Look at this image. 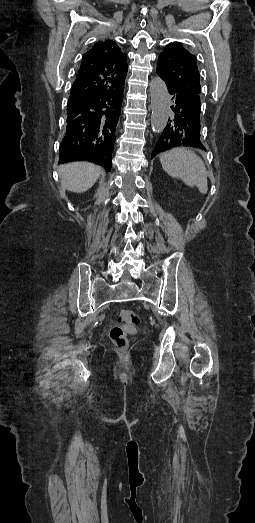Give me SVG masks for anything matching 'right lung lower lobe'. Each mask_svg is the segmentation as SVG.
Returning a JSON list of instances; mask_svg holds the SVG:
<instances>
[{
  "mask_svg": "<svg viewBox=\"0 0 255 523\" xmlns=\"http://www.w3.org/2000/svg\"><path fill=\"white\" fill-rule=\"evenodd\" d=\"M79 112L83 114V152L90 155L94 152V144L100 142V100L92 98L79 103Z\"/></svg>",
  "mask_w": 255,
  "mask_h": 523,
  "instance_id": "right-lung-lower-lobe-1",
  "label": "right lung lower lobe"
}]
</instances>
